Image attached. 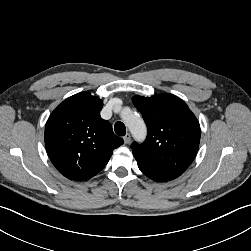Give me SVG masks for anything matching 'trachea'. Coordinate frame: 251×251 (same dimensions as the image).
I'll return each instance as SVG.
<instances>
[{
    "label": "trachea",
    "mask_w": 251,
    "mask_h": 251,
    "mask_svg": "<svg viewBox=\"0 0 251 251\" xmlns=\"http://www.w3.org/2000/svg\"><path fill=\"white\" fill-rule=\"evenodd\" d=\"M115 133L119 136H124L126 134V128L124 123L118 121L114 126Z\"/></svg>",
    "instance_id": "3493384b"
}]
</instances>
